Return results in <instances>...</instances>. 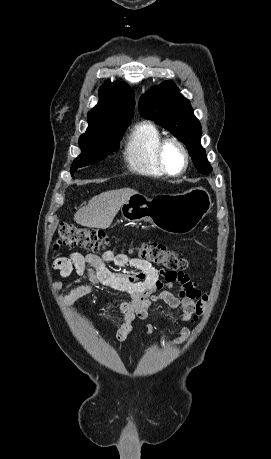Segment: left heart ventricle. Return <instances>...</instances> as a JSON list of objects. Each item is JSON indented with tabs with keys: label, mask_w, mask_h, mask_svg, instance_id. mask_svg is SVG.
<instances>
[{
	"label": "left heart ventricle",
	"mask_w": 271,
	"mask_h": 459,
	"mask_svg": "<svg viewBox=\"0 0 271 459\" xmlns=\"http://www.w3.org/2000/svg\"><path fill=\"white\" fill-rule=\"evenodd\" d=\"M165 160L173 172H179L185 167V156L181 148L174 142L167 144L165 148Z\"/></svg>",
	"instance_id": "left-heart-ventricle-1"
}]
</instances>
